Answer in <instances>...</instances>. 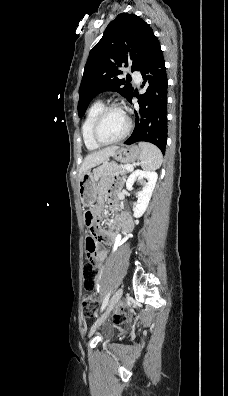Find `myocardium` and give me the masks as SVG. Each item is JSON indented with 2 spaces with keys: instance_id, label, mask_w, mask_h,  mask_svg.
Instances as JSON below:
<instances>
[{
  "instance_id": "myocardium-1",
  "label": "myocardium",
  "mask_w": 228,
  "mask_h": 396,
  "mask_svg": "<svg viewBox=\"0 0 228 396\" xmlns=\"http://www.w3.org/2000/svg\"><path fill=\"white\" fill-rule=\"evenodd\" d=\"M114 109H119L126 115L127 127L121 136H119L116 139L106 141L100 137V133H99L100 125H101V122H102L104 116L106 115V113L109 112L110 110H114ZM132 125H133L132 119L129 116V114L127 113L126 109L119 103H111V104L105 105L100 110V112L97 114V116L94 120L93 126H92V138L100 146L115 144V143H118V142L124 140L129 135V133L132 130Z\"/></svg>"
}]
</instances>
